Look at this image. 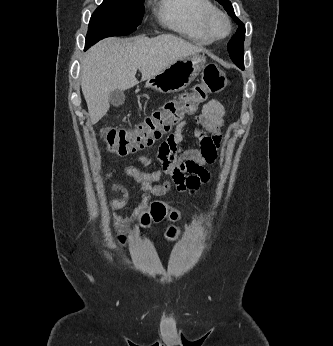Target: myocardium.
<instances>
[{
    "label": "myocardium",
    "instance_id": "1",
    "mask_svg": "<svg viewBox=\"0 0 333 346\" xmlns=\"http://www.w3.org/2000/svg\"><path fill=\"white\" fill-rule=\"evenodd\" d=\"M216 18L222 19L226 24V30L222 35H218L214 31L213 23H214V20ZM206 27H207L209 34L211 35V37L213 39H222V38L227 37L230 34L231 29H232L231 21H230L228 15L225 12H223L222 10L215 8V7L206 16Z\"/></svg>",
    "mask_w": 333,
    "mask_h": 346
}]
</instances>
